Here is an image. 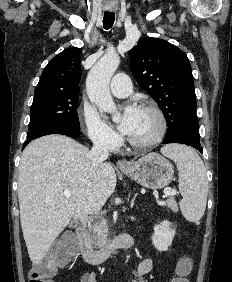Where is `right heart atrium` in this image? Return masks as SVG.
I'll use <instances>...</instances> for the list:
<instances>
[{
	"label": "right heart atrium",
	"instance_id": "1",
	"mask_svg": "<svg viewBox=\"0 0 232 282\" xmlns=\"http://www.w3.org/2000/svg\"><path fill=\"white\" fill-rule=\"evenodd\" d=\"M81 118L88 137L97 145L114 149L118 142L117 133L101 118L99 113L89 105L81 108Z\"/></svg>",
	"mask_w": 232,
	"mask_h": 282
}]
</instances>
